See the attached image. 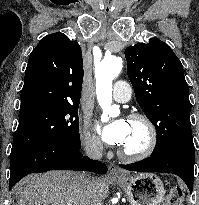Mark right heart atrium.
<instances>
[{
    "label": "right heart atrium",
    "mask_w": 199,
    "mask_h": 205,
    "mask_svg": "<svg viewBox=\"0 0 199 205\" xmlns=\"http://www.w3.org/2000/svg\"><path fill=\"white\" fill-rule=\"evenodd\" d=\"M82 145L86 153L91 157H98L102 152V146L100 141L96 136L91 134L88 131V128L85 126L81 133Z\"/></svg>",
    "instance_id": "d8ad5b80"
}]
</instances>
